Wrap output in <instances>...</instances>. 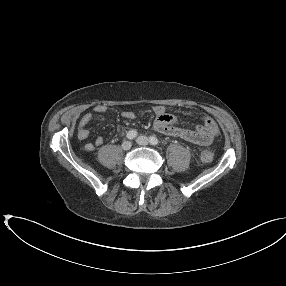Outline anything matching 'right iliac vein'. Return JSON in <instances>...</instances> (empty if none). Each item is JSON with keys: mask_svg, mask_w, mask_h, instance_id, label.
<instances>
[{"mask_svg": "<svg viewBox=\"0 0 286 286\" xmlns=\"http://www.w3.org/2000/svg\"><path fill=\"white\" fill-rule=\"evenodd\" d=\"M131 146H132V144L130 141H124L122 143V149L125 151L129 150L131 148Z\"/></svg>", "mask_w": 286, "mask_h": 286, "instance_id": "63e3f726", "label": "right iliac vein"}]
</instances>
